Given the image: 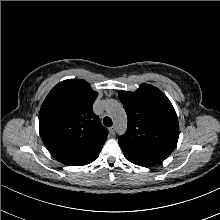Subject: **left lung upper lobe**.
Wrapping results in <instances>:
<instances>
[{
    "label": "left lung upper lobe",
    "instance_id": "obj_1",
    "mask_svg": "<svg viewBox=\"0 0 220 220\" xmlns=\"http://www.w3.org/2000/svg\"><path fill=\"white\" fill-rule=\"evenodd\" d=\"M128 116L127 131L118 138L124 155L148 165L165 160L179 138L176 112L158 88L142 84L135 92L120 91Z\"/></svg>",
    "mask_w": 220,
    "mask_h": 220
}]
</instances>
